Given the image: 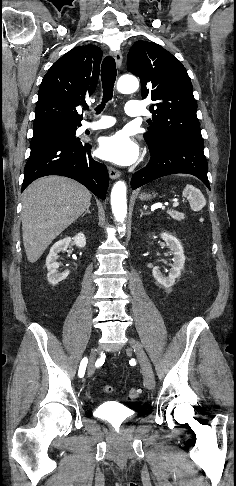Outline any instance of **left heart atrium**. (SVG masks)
<instances>
[{
  "label": "left heart atrium",
  "instance_id": "39dd6f15",
  "mask_svg": "<svg viewBox=\"0 0 236 486\" xmlns=\"http://www.w3.org/2000/svg\"><path fill=\"white\" fill-rule=\"evenodd\" d=\"M139 146L124 131L103 137L99 145V156L118 165H131L139 157Z\"/></svg>",
  "mask_w": 236,
  "mask_h": 486
}]
</instances>
